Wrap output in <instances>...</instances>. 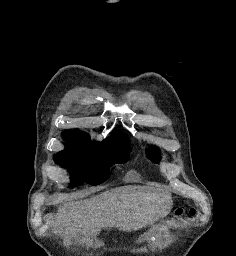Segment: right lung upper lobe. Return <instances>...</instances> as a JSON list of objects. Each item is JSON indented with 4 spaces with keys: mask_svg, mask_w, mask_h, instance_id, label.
Returning a JSON list of instances; mask_svg holds the SVG:
<instances>
[{
    "mask_svg": "<svg viewBox=\"0 0 236 256\" xmlns=\"http://www.w3.org/2000/svg\"><path fill=\"white\" fill-rule=\"evenodd\" d=\"M63 135L75 136V137H80V138L90 140V138L87 134H85L79 130L66 131L63 133ZM103 142H127V143H129V138L126 134L114 133L112 136L106 138Z\"/></svg>",
    "mask_w": 236,
    "mask_h": 256,
    "instance_id": "cb5924a9",
    "label": "right lung upper lobe"
}]
</instances>
